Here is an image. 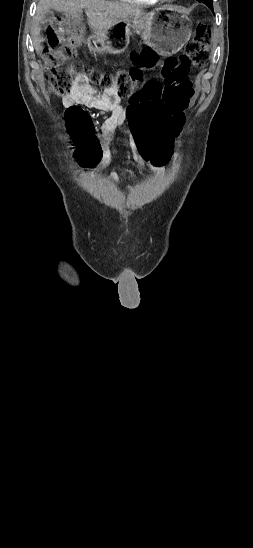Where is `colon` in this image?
<instances>
[{
	"instance_id": "colon-1",
	"label": "colon",
	"mask_w": 253,
	"mask_h": 548,
	"mask_svg": "<svg viewBox=\"0 0 253 548\" xmlns=\"http://www.w3.org/2000/svg\"><path fill=\"white\" fill-rule=\"evenodd\" d=\"M63 40L51 34L49 46L44 49L43 61L48 71V91L54 95L68 94L75 76L87 75L89 80L106 90L116 86L127 107L126 125L143 159L151 166H166L171 155L172 139L180 137L184 112L193 95L192 77L189 72L203 67L209 60L210 29L206 25L198 28L195 37L189 41L181 54L174 60H153L155 55L149 49L132 55L134 67L129 73L117 75L101 72L82 63L64 67L63 63L74 57L75 49L70 43L73 34L80 35V27L71 31L61 27ZM150 80H144L135 92V83L141 78V71ZM158 71L154 75L153 71ZM154 75V76H153ZM67 119L76 148L77 160L92 164L101 154V145L93 133L88 114L78 106L67 110Z\"/></svg>"
}]
</instances>
